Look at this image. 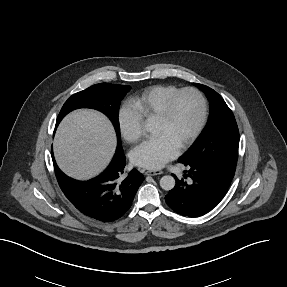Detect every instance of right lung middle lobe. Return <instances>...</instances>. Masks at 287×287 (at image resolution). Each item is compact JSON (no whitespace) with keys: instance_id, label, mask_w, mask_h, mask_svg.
Instances as JSON below:
<instances>
[{"instance_id":"obj_1","label":"right lung middle lobe","mask_w":287,"mask_h":287,"mask_svg":"<svg viewBox=\"0 0 287 287\" xmlns=\"http://www.w3.org/2000/svg\"><path fill=\"white\" fill-rule=\"evenodd\" d=\"M130 89L131 87L127 85H116L109 83L93 85L72 95L65 102L58 115L57 123H59L67 113L78 108H92L101 111L113 123L118 140L117 150H121L122 146L118 110L121 100Z\"/></svg>"}]
</instances>
